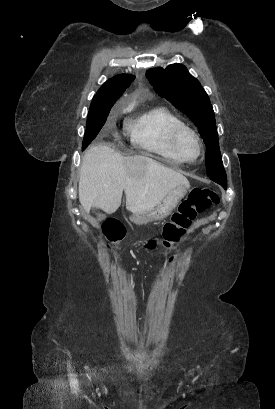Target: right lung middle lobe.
Instances as JSON below:
<instances>
[{
	"mask_svg": "<svg viewBox=\"0 0 275 409\" xmlns=\"http://www.w3.org/2000/svg\"><path fill=\"white\" fill-rule=\"evenodd\" d=\"M110 110L111 107L93 111L89 109L86 123V131L82 143V150L87 148V146L92 142V140L95 139V137L103 127Z\"/></svg>",
	"mask_w": 275,
	"mask_h": 409,
	"instance_id": "right-lung-middle-lobe-1",
	"label": "right lung middle lobe"
}]
</instances>
